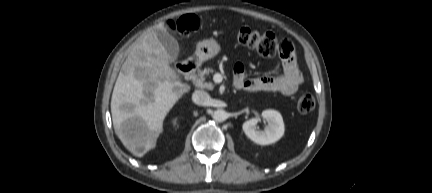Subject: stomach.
<instances>
[{
    "label": "stomach",
    "instance_id": "stomach-1",
    "mask_svg": "<svg viewBox=\"0 0 432 193\" xmlns=\"http://www.w3.org/2000/svg\"><path fill=\"white\" fill-rule=\"evenodd\" d=\"M220 52V45L214 39L200 41L196 46L195 54L202 62L215 57Z\"/></svg>",
    "mask_w": 432,
    "mask_h": 193
}]
</instances>
